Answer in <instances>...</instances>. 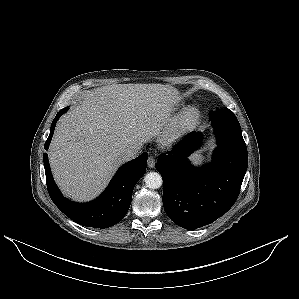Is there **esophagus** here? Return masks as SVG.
<instances>
[{
    "mask_svg": "<svg viewBox=\"0 0 299 299\" xmlns=\"http://www.w3.org/2000/svg\"><path fill=\"white\" fill-rule=\"evenodd\" d=\"M147 163H148V167H149V168H154V167H155V164H156V160H155V158H154L153 156H150V157L148 158Z\"/></svg>",
    "mask_w": 299,
    "mask_h": 299,
    "instance_id": "esophagus-1",
    "label": "esophagus"
}]
</instances>
